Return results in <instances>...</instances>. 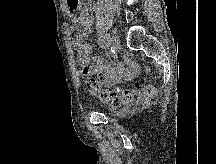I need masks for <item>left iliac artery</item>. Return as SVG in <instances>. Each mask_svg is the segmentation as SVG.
<instances>
[{
    "label": "left iliac artery",
    "mask_w": 216,
    "mask_h": 164,
    "mask_svg": "<svg viewBox=\"0 0 216 164\" xmlns=\"http://www.w3.org/2000/svg\"><path fill=\"white\" fill-rule=\"evenodd\" d=\"M104 39H105V42H106V46L109 47V50H111V53L115 54L116 53V48H114V45H111L110 34L106 33Z\"/></svg>",
    "instance_id": "44dca946"
}]
</instances>
